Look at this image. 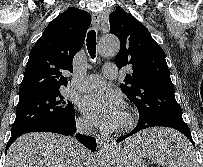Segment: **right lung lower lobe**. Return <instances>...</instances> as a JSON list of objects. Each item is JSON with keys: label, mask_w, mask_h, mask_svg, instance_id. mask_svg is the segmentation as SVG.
<instances>
[{"label": "right lung lower lobe", "mask_w": 203, "mask_h": 167, "mask_svg": "<svg viewBox=\"0 0 203 167\" xmlns=\"http://www.w3.org/2000/svg\"><path fill=\"white\" fill-rule=\"evenodd\" d=\"M29 132H54V133H59L67 136L73 135L76 132L75 116L64 119L62 121L39 125L25 132L11 136V138L9 139L6 145V151L16 138ZM77 136H78L77 137L78 141L82 143L84 146H86L88 149H90L91 151L96 150V140L93 137L80 135V134H78Z\"/></svg>", "instance_id": "obj_1"}]
</instances>
